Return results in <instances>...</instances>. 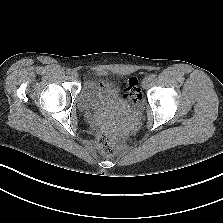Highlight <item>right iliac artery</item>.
I'll return each mask as SVG.
<instances>
[{"label": "right iliac artery", "mask_w": 223, "mask_h": 223, "mask_svg": "<svg viewBox=\"0 0 223 223\" xmlns=\"http://www.w3.org/2000/svg\"><path fill=\"white\" fill-rule=\"evenodd\" d=\"M66 73H67V74H70V73H71V69H67V70H66Z\"/></svg>", "instance_id": "right-iliac-artery-1"}]
</instances>
